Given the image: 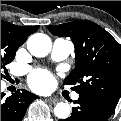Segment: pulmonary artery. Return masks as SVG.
Masks as SVG:
<instances>
[{"label":"pulmonary artery","instance_id":"pulmonary-artery-1","mask_svg":"<svg viewBox=\"0 0 121 121\" xmlns=\"http://www.w3.org/2000/svg\"><path fill=\"white\" fill-rule=\"evenodd\" d=\"M74 52V44L72 41L58 38L53 42L51 51V60L54 62H60L68 58ZM74 100H78L79 95L74 93L72 95Z\"/></svg>","mask_w":121,"mask_h":121}]
</instances>
